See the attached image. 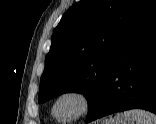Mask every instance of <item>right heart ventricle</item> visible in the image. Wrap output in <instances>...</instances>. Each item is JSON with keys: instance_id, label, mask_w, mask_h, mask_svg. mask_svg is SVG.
Masks as SVG:
<instances>
[{"instance_id": "1", "label": "right heart ventricle", "mask_w": 156, "mask_h": 124, "mask_svg": "<svg viewBox=\"0 0 156 124\" xmlns=\"http://www.w3.org/2000/svg\"><path fill=\"white\" fill-rule=\"evenodd\" d=\"M54 117V116H53ZM58 122H63L61 119L54 117Z\"/></svg>"}]
</instances>
